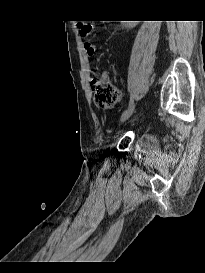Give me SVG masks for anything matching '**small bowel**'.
<instances>
[{"instance_id":"small-bowel-1","label":"small bowel","mask_w":205,"mask_h":273,"mask_svg":"<svg viewBox=\"0 0 205 273\" xmlns=\"http://www.w3.org/2000/svg\"><path fill=\"white\" fill-rule=\"evenodd\" d=\"M84 49L88 56H94L97 53V49L89 42L84 43Z\"/></svg>"}]
</instances>
